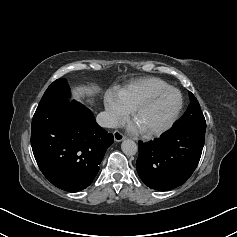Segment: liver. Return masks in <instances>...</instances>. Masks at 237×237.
I'll return each mask as SVG.
<instances>
[{"label": "liver", "mask_w": 237, "mask_h": 237, "mask_svg": "<svg viewBox=\"0 0 237 237\" xmlns=\"http://www.w3.org/2000/svg\"><path fill=\"white\" fill-rule=\"evenodd\" d=\"M99 90L98 86L95 84H88V85H79L73 89V94L76 99L91 97ZM88 103L92 104L93 100H87Z\"/></svg>", "instance_id": "6515ba94"}]
</instances>
